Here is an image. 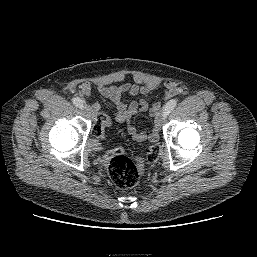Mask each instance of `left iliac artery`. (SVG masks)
<instances>
[{
	"label": "left iliac artery",
	"mask_w": 257,
	"mask_h": 257,
	"mask_svg": "<svg viewBox=\"0 0 257 257\" xmlns=\"http://www.w3.org/2000/svg\"><path fill=\"white\" fill-rule=\"evenodd\" d=\"M177 100L172 99L170 100L164 107V111L167 113V115L176 107Z\"/></svg>",
	"instance_id": "obj_1"
}]
</instances>
